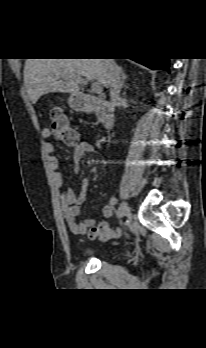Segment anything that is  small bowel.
Wrapping results in <instances>:
<instances>
[{"mask_svg":"<svg viewBox=\"0 0 206 348\" xmlns=\"http://www.w3.org/2000/svg\"><path fill=\"white\" fill-rule=\"evenodd\" d=\"M42 134L44 137H48L49 130L44 129ZM44 149L47 154L48 164L52 170L54 183L58 188H62L65 184V177L63 173L58 170L59 162L54 155L55 147L52 143L47 142L44 145ZM92 152H94V147L89 142L77 141L73 144V161L75 172L79 170L80 164L85 155ZM81 186L82 192L80 195H76L72 189L64 190L61 195V209L63 215L67 221L69 230L76 235H85L91 227L96 225V221L93 218H85L82 221L77 220V216L81 212V205L90 192V180L88 178H83ZM101 209L104 217L109 218L112 216L113 210L110 204H103Z\"/></svg>","mask_w":206,"mask_h":348,"instance_id":"small-bowel-1","label":"small bowel"}]
</instances>
